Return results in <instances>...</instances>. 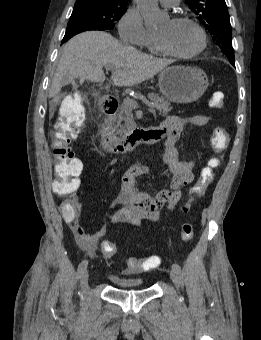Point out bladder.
<instances>
[{"instance_id":"31cf9c89","label":"bladder","mask_w":261,"mask_h":340,"mask_svg":"<svg viewBox=\"0 0 261 340\" xmlns=\"http://www.w3.org/2000/svg\"><path fill=\"white\" fill-rule=\"evenodd\" d=\"M110 280L117 288L120 289H141L144 287L141 278L135 277H121L117 275H111Z\"/></svg>"}]
</instances>
